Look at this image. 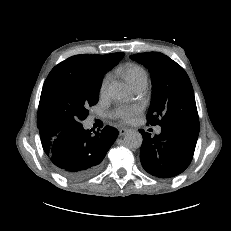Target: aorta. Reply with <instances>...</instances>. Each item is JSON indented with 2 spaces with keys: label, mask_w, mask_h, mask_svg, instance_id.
<instances>
[{
  "label": "aorta",
  "mask_w": 231,
  "mask_h": 231,
  "mask_svg": "<svg viewBox=\"0 0 231 231\" xmlns=\"http://www.w3.org/2000/svg\"><path fill=\"white\" fill-rule=\"evenodd\" d=\"M110 96L117 101H124L129 96V90L123 83H113L109 87ZM143 142L142 135L137 130H128L124 136V143L130 149H138Z\"/></svg>",
  "instance_id": "762f6f07"
}]
</instances>
